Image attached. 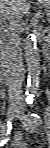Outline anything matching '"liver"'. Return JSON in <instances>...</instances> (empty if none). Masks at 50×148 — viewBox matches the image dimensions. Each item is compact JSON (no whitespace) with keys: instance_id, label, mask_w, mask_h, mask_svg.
<instances>
[{"instance_id":"obj_1","label":"liver","mask_w":50,"mask_h":148,"mask_svg":"<svg viewBox=\"0 0 50 148\" xmlns=\"http://www.w3.org/2000/svg\"><path fill=\"white\" fill-rule=\"evenodd\" d=\"M30 8L29 0H1L0 1V14L1 17H4L7 13H16L20 14L25 13Z\"/></svg>"}]
</instances>
